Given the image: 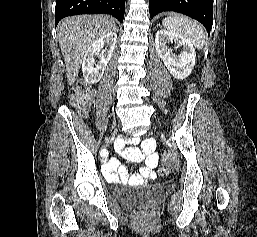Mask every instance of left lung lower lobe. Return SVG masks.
<instances>
[{
  "label": "left lung lower lobe",
  "instance_id": "left-lung-lower-lobe-1",
  "mask_svg": "<svg viewBox=\"0 0 257 237\" xmlns=\"http://www.w3.org/2000/svg\"><path fill=\"white\" fill-rule=\"evenodd\" d=\"M150 17L163 11L185 14L201 22L208 34L213 24V0H149Z\"/></svg>",
  "mask_w": 257,
  "mask_h": 237
}]
</instances>
